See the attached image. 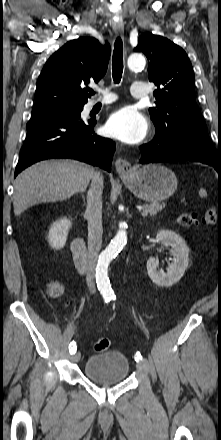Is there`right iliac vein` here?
<instances>
[{"label": "right iliac vein", "instance_id": "1", "mask_svg": "<svg viewBox=\"0 0 221 440\" xmlns=\"http://www.w3.org/2000/svg\"><path fill=\"white\" fill-rule=\"evenodd\" d=\"M81 354L79 352H76L72 355L71 360L73 362H78L80 360Z\"/></svg>", "mask_w": 221, "mask_h": 440}]
</instances>
